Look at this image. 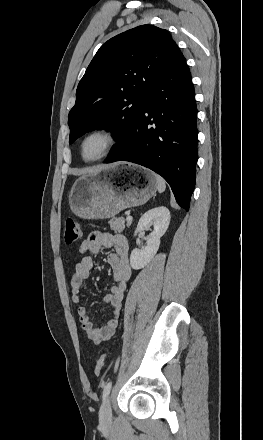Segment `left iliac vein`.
<instances>
[{
    "instance_id": "1",
    "label": "left iliac vein",
    "mask_w": 263,
    "mask_h": 440,
    "mask_svg": "<svg viewBox=\"0 0 263 440\" xmlns=\"http://www.w3.org/2000/svg\"><path fill=\"white\" fill-rule=\"evenodd\" d=\"M112 419L111 399L107 397L100 409V421L102 423H108Z\"/></svg>"
}]
</instances>
